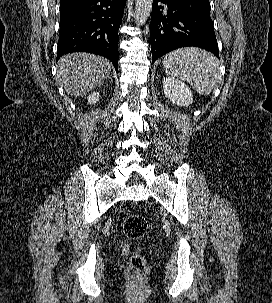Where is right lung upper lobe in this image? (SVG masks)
Instances as JSON below:
<instances>
[{
    "mask_svg": "<svg viewBox=\"0 0 272 303\" xmlns=\"http://www.w3.org/2000/svg\"><path fill=\"white\" fill-rule=\"evenodd\" d=\"M81 1H84V0H61L60 9L72 6V5H74L76 3H79Z\"/></svg>",
    "mask_w": 272,
    "mask_h": 303,
    "instance_id": "right-lung-upper-lobe-1",
    "label": "right lung upper lobe"
}]
</instances>
